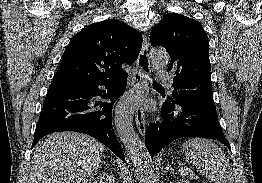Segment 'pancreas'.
I'll list each match as a JSON object with an SVG mask.
<instances>
[{"mask_svg": "<svg viewBox=\"0 0 262 183\" xmlns=\"http://www.w3.org/2000/svg\"><path fill=\"white\" fill-rule=\"evenodd\" d=\"M190 176H192V177H191L192 179H195V178H196V177H193V174H190Z\"/></svg>", "mask_w": 262, "mask_h": 183, "instance_id": "cf45deb5", "label": "pancreas"}]
</instances>
